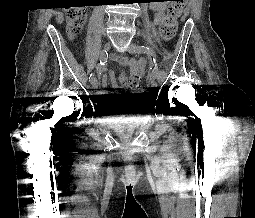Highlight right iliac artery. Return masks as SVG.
<instances>
[{"instance_id": "obj_1", "label": "right iliac artery", "mask_w": 255, "mask_h": 218, "mask_svg": "<svg viewBox=\"0 0 255 218\" xmlns=\"http://www.w3.org/2000/svg\"><path fill=\"white\" fill-rule=\"evenodd\" d=\"M106 55H107V52L105 53V56ZM105 59L104 60H100L99 64L97 65L96 70L98 72H100L102 70V67L105 65ZM93 79H95V76H94V73H91L90 76H89V80L92 81Z\"/></svg>"}]
</instances>
